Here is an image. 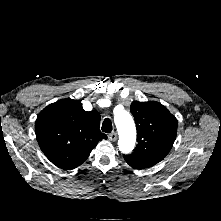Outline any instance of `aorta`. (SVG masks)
Returning <instances> with one entry per match:
<instances>
[{"label":"aorta","mask_w":221,"mask_h":221,"mask_svg":"<svg viewBox=\"0 0 221 221\" xmlns=\"http://www.w3.org/2000/svg\"><path fill=\"white\" fill-rule=\"evenodd\" d=\"M114 122L119 134V150L125 154L130 153L136 142V128L131 114L125 109L116 110Z\"/></svg>","instance_id":"1"}]
</instances>
